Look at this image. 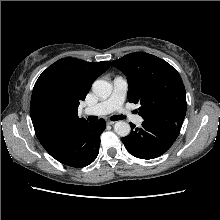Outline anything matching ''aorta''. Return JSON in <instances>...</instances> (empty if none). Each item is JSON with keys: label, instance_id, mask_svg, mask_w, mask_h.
Here are the masks:
<instances>
[{"label": "aorta", "instance_id": "aorta-1", "mask_svg": "<svg viewBox=\"0 0 220 220\" xmlns=\"http://www.w3.org/2000/svg\"><path fill=\"white\" fill-rule=\"evenodd\" d=\"M112 85L105 80H96L92 85L94 94L100 98L106 99L111 95ZM131 127L125 121H118L114 125V132L121 137H126L130 134Z\"/></svg>", "mask_w": 220, "mask_h": 220}]
</instances>
